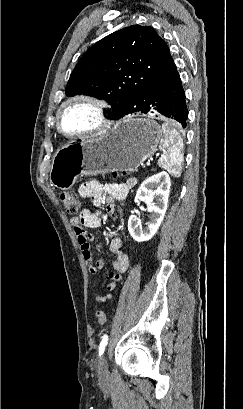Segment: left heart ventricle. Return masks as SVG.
<instances>
[{"mask_svg":"<svg viewBox=\"0 0 243 409\" xmlns=\"http://www.w3.org/2000/svg\"><path fill=\"white\" fill-rule=\"evenodd\" d=\"M96 125L95 111L88 103H72L64 109L61 116L62 129L68 134L84 132Z\"/></svg>","mask_w":243,"mask_h":409,"instance_id":"b2bd125f","label":"left heart ventricle"}]
</instances>
